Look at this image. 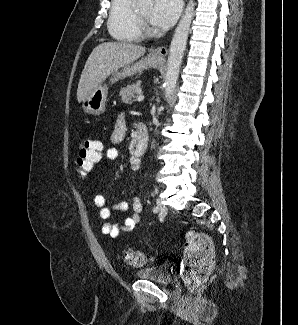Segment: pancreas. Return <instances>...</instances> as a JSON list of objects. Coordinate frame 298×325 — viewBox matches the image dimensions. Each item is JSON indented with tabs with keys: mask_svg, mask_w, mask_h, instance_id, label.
Masks as SVG:
<instances>
[{
	"mask_svg": "<svg viewBox=\"0 0 298 325\" xmlns=\"http://www.w3.org/2000/svg\"><path fill=\"white\" fill-rule=\"evenodd\" d=\"M141 86V80H135L132 84H127V86H122L118 96H121L122 102H132L138 96V88Z\"/></svg>",
	"mask_w": 298,
	"mask_h": 325,
	"instance_id": "obj_1",
	"label": "pancreas"
}]
</instances>
